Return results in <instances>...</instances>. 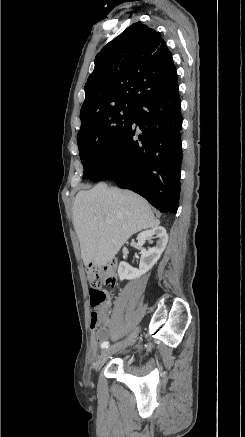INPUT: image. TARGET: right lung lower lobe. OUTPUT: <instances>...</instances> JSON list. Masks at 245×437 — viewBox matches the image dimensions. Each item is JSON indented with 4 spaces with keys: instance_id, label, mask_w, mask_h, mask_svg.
Returning <instances> with one entry per match:
<instances>
[{
    "instance_id": "right-lung-lower-lobe-1",
    "label": "right lung lower lobe",
    "mask_w": 245,
    "mask_h": 437,
    "mask_svg": "<svg viewBox=\"0 0 245 437\" xmlns=\"http://www.w3.org/2000/svg\"><path fill=\"white\" fill-rule=\"evenodd\" d=\"M180 104L178 87L140 100L131 124L88 179L113 180L159 211L176 214L182 163Z\"/></svg>"
}]
</instances>
